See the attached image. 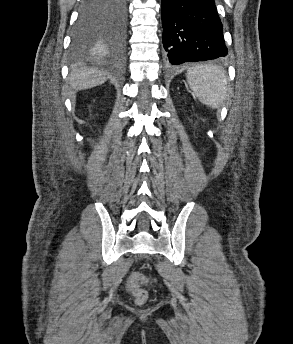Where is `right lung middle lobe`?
<instances>
[{"mask_svg":"<svg viewBox=\"0 0 293 344\" xmlns=\"http://www.w3.org/2000/svg\"><path fill=\"white\" fill-rule=\"evenodd\" d=\"M101 5L85 7L82 4L80 16L74 29L73 44L84 49L96 44L112 46L109 28L122 20V0H104Z\"/></svg>","mask_w":293,"mask_h":344,"instance_id":"right-lung-middle-lobe-1","label":"right lung middle lobe"}]
</instances>
